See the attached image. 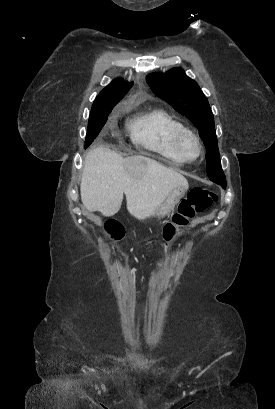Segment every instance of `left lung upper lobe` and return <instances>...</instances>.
I'll return each mask as SVG.
<instances>
[{"label": "left lung upper lobe", "instance_id": "5c2ea615", "mask_svg": "<svg viewBox=\"0 0 275 409\" xmlns=\"http://www.w3.org/2000/svg\"><path fill=\"white\" fill-rule=\"evenodd\" d=\"M152 91L179 113L191 120L200 131L207 149V174L211 181L226 186L221 168L214 118L209 103L198 84L186 76L181 68L152 73L146 77Z\"/></svg>", "mask_w": 275, "mask_h": 409}]
</instances>
